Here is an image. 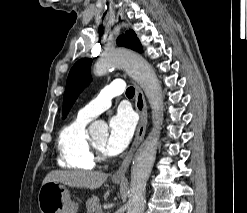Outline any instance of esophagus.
I'll return each instance as SVG.
<instances>
[{
	"instance_id": "34e87169",
	"label": "esophagus",
	"mask_w": 247,
	"mask_h": 213,
	"mask_svg": "<svg viewBox=\"0 0 247 213\" xmlns=\"http://www.w3.org/2000/svg\"><path fill=\"white\" fill-rule=\"evenodd\" d=\"M135 107L136 110L140 116L138 128L136 131V135L134 138V141L131 145V148L127 154V156L124 158L122 164L120 167L113 173V178L115 179H121L125 177V173L127 169L130 166L131 160L133 158L134 152L142 142L145 132H146V127H147V104L146 100L144 97V94L141 90V88L135 83Z\"/></svg>"
}]
</instances>
